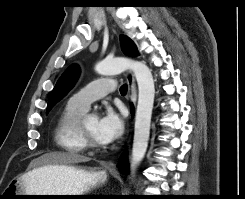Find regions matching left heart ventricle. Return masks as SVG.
Segmentation results:
<instances>
[{
    "instance_id": "1",
    "label": "left heart ventricle",
    "mask_w": 245,
    "mask_h": 199,
    "mask_svg": "<svg viewBox=\"0 0 245 199\" xmlns=\"http://www.w3.org/2000/svg\"><path fill=\"white\" fill-rule=\"evenodd\" d=\"M98 119L96 117H88L84 120V127L88 135L96 142L101 143L97 136Z\"/></svg>"
}]
</instances>
